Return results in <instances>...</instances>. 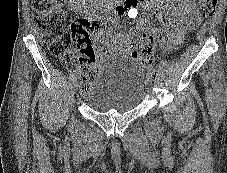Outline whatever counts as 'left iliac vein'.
Returning <instances> with one entry per match:
<instances>
[{
  "label": "left iliac vein",
  "mask_w": 227,
  "mask_h": 173,
  "mask_svg": "<svg viewBox=\"0 0 227 173\" xmlns=\"http://www.w3.org/2000/svg\"><path fill=\"white\" fill-rule=\"evenodd\" d=\"M146 81H147L148 85H152L153 76H152V74L149 73V72H148L147 75H146Z\"/></svg>",
  "instance_id": "left-iliac-vein-1"
}]
</instances>
